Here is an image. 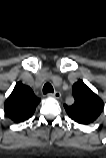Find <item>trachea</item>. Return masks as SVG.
I'll return each instance as SVG.
<instances>
[{
  "label": "trachea",
  "instance_id": "obj_1",
  "mask_svg": "<svg viewBox=\"0 0 106 158\" xmlns=\"http://www.w3.org/2000/svg\"><path fill=\"white\" fill-rule=\"evenodd\" d=\"M54 89L50 83H46L43 87V94L52 93Z\"/></svg>",
  "mask_w": 106,
  "mask_h": 158
}]
</instances>
